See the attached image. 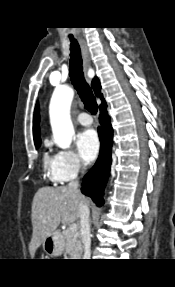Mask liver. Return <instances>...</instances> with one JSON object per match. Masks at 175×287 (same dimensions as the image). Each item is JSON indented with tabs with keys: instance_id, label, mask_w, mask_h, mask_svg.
<instances>
[{
	"instance_id": "liver-1",
	"label": "liver",
	"mask_w": 175,
	"mask_h": 287,
	"mask_svg": "<svg viewBox=\"0 0 175 287\" xmlns=\"http://www.w3.org/2000/svg\"><path fill=\"white\" fill-rule=\"evenodd\" d=\"M80 201H89L79 192L68 187H42L34 195L31 221L32 238L29 244L31 257L46 237L56 231L60 223L72 224L79 219Z\"/></svg>"
}]
</instances>
